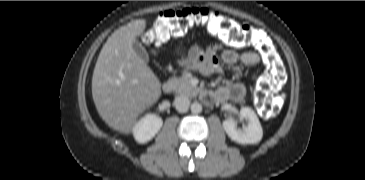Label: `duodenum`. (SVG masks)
<instances>
[{"label": "duodenum", "mask_w": 365, "mask_h": 180, "mask_svg": "<svg viewBox=\"0 0 365 180\" xmlns=\"http://www.w3.org/2000/svg\"><path fill=\"white\" fill-rule=\"evenodd\" d=\"M162 89L166 93H172L175 89V83L173 81H165L162 85ZM202 100L205 102H210L212 97L208 92H204L201 94Z\"/></svg>", "instance_id": "1"}]
</instances>
